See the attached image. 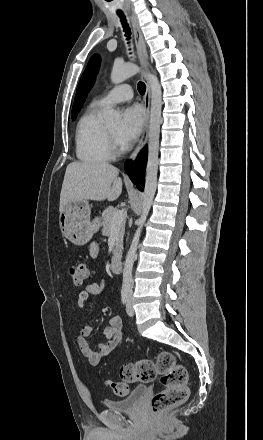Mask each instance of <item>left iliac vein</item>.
I'll return each instance as SVG.
<instances>
[{"label": "left iliac vein", "instance_id": "1", "mask_svg": "<svg viewBox=\"0 0 263 440\" xmlns=\"http://www.w3.org/2000/svg\"><path fill=\"white\" fill-rule=\"evenodd\" d=\"M126 311H127V314H128L129 316H133V314H134V310H133V308H132V297H131V294L128 295V301H127Z\"/></svg>", "mask_w": 263, "mask_h": 440}]
</instances>
